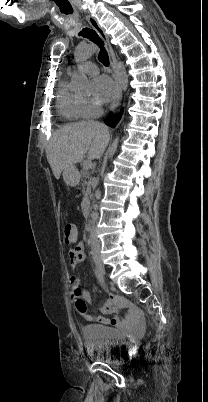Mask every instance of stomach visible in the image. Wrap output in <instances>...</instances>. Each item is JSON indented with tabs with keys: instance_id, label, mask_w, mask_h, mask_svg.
Listing matches in <instances>:
<instances>
[{
	"instance_id": "0dacf381",
	"label": "stomach",
	"mask_w": 208,
	"mask_h": 402,
	"mask_svg": "<svg viewBox=\"0 0 208 402\" xmlns=\"http://www.w3.org/2000/svg\"><path fill=\"white\" fill-rule=\"evenodd\" d=\"M63 180L67 186H71V188H74V186H77L79 184L80 176L77 168H74V166H70V168H65L63 170Z\"/></svg>"
}]
</instances>
